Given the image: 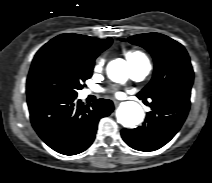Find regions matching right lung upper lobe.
Instances as JSON below:
<instances>
[{
  "instance_id": "right-lung-upper-lobe-1",
  "label": "right lung upper lobe",
  "mask_w": 212,
  "mask_h": 183,
  "mask_svg": "<svg viewBox=\"0 0 212 183\" xmlns=\"http://www.w3.org/2000/svg\"><path fill=\"white\" fill-rule=\"evenodd\" d=\"M112 43V39H97L85 35L66 33L46 43L38 52L50 47L63 48L84 61L95 58Z\"/></svg>"
}]
</instances>
